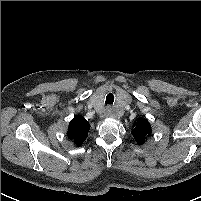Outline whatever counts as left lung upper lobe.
<instances>
[{"label":"left lung upper lobe","instance_id":"left-lung-upper-lobe-1","mask_svg":"<svg viewBox=\"0 0 201 201\" xmlns=\"http://www.w3.org/2000/svg\"><path fill=\"white\" fill-rule=\"evenodd\" d=\"M151 134V126L147 119L140 118L134 123L132 135L138 144H143Z\"/></svg>","mask_w":201,"mask_h":201}]
</instances>
